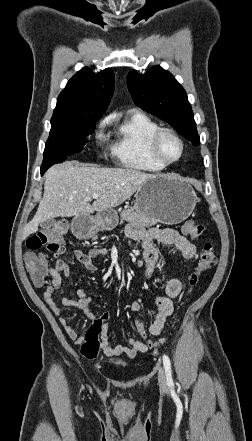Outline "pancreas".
Instances as JSON below:
<instances>
[{
  "mask_svg": "<svg viewBox=\"0 0 252 441\" xmlns=\"http://www.w3.org/2000/svg\"><path fill=\"white\" fill-rule=\"evenodd\" d=\"M120 220H121V223H123L124 221L135 222V223H139L145 227L153 226V225L157 224V222H158L157 220H155L153 218H149V217L145 216L144 214H142L139 210H135L133 208L123 210L120 213Z\"/></svg>",
  "mask_w": 252,
  "mask_h": 441,
  "instance_id": "pancreas-1",
  "label": "pancreas"
}]
</instances>
